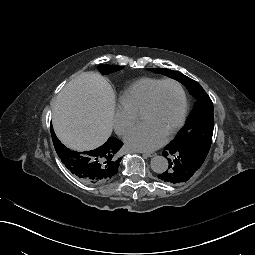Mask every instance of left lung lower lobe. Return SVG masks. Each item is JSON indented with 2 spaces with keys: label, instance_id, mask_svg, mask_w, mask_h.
Returning a JSON list of instances; mask_svg holds the SVG:
<instances>
[{
  "label": "left lung lower lobe",
  "instance_id": "obj_1",
  "mask_svg": "<svg viewBox=\"0 0 255 255\" xmlns=\"http://www.w3.org/2000/svg\"><path fill=\"white\" fill-rule=\"evenodd\" d=\"M164 158L168 159V169L158 174V179L167 184L185 183L190 179L194 172L200 173L201 162L197 158L188 153L187 150L179 147L164 148L162 151Z\"/></svg>",
  "mask_w": 255,
  "mask_h": 255
}]
</instances>
